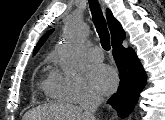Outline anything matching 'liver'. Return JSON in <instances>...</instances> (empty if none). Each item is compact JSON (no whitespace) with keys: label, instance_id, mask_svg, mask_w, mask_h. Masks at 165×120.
Returning a JSON list of instances; mask_svg holds the SVG:
<instances>
[{"label":"liver","instance_id":"6515ba94","mask_svg":"<svg viewBox=\"0 0 165 120\" xmlns=\"http://www.w3.org/2000/svg\"><path fill=\"white\" fill-rule=\"evenodd\" d=\"M46 118H55V120H82V111L75 105L60 103L38 107L29 111L24 116V120H46Z\"/></svg>","mask_w":165,"mask_h":120}]
</instances>
